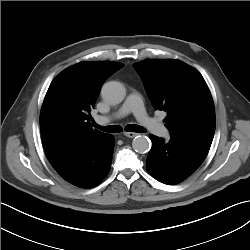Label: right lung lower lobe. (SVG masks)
<instances>
[{
    "instance_id": "98d812e1",
    "label": "right lung lower lobe",
    "mask_w": 250,
    "mask_h": 250,
    "mask_svg": "<svg viewBox=\"0 0 250 250\" xmlns=\"http://www.w3.org/2000/svg\"><path fill=\"white\" fill-rule=\"evenodd\" d=\"M115 140L110 134L53 166L67 182L81 188L97 185L109 172Z\"/></svg>"
}]
</instances>
